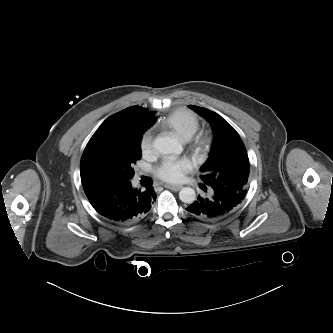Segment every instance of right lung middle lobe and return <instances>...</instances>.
Segmentation results:
<instances>
[{
	"label": "right lung middle lobe",
	"mask_w": 333,
	"mask_h": 333,
	"mask_svg": "<svg viewBox=\"0 0 333 333\" xmlns=\"http://www.w3.org/2000/svg\"><path fill=\"white\" fill-rule=\"evenodd\" d=\"M149 127L135 111L124 109L107 118L88 142L80 163L82 184L130 181L141 158L140 142Z\"/></svg>",
	"instance_id": "right-lung-middle-lobe-1"
}]
</instances>
